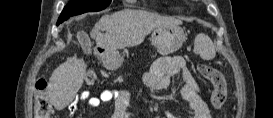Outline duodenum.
<instances>
[{
  "label": "duodenum",
  "mask_w": 273,
  "mask_h": 118,
  "mask_svg": "<svg viewBox=\"0 0 273 118\" xmlns=\"http://www.w3.org/2000/svg\"><path fill=\"white\" fill-rule=\"evenodd\" d=\"M103 57H104L103 55H99V58H100V59H103Z\"/></svg>",
  "instance_id": "1"
}]
</instances>
